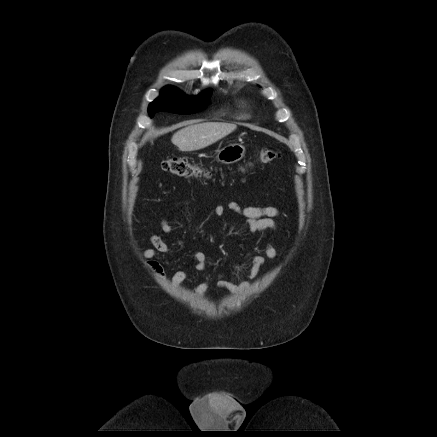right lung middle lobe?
Here are the masks:
<instances>
[{
  "label": "right lung middle lobe",
  "instance_id": "1",
  "mask_svg": "<svg viewBox=\"0 0 437 437\" xmlns=\"http://www.w3.org/2000/svg\"><path fill=\"white\" fill-rule=\"evenodd\" d=\"M211 94L212 91L209 90L201 93L197 98L191 99L175 88L168 86L163 89L161 96L149 105L148 112L151 117L159 111L178 114L196 113L206 106Z\"/></svg>",
  "mask_w": 437,
  "mask_h": 437
}]
</instances>
